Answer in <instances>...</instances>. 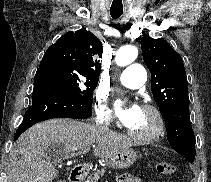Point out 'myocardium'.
I'll list each match as a JSON object with an SVG mask.
<instances>
[{
	"label": "myocardium",
	"mask_w": 211,
	"mask_h": 182,
	"mask_svg": "<svg viewBox=\"0 0 211 182\" xmlns=\"http://www.w3.org/2000/svg\"><path fill=\"white\" fill-rule=\"evenodd\" d=\"M142 109L148 110L156 118V127L155 129L147 135H140L137 134L136 132L132 131L131 129H127V133L130 137H132L135 141L140 142V143H151L155 140H157L164 132L165 130V118L160 111V109L152 104H144L142 106Z\"/></svg>",
	"instance_id": "f54148a6"
}]
</instances>
